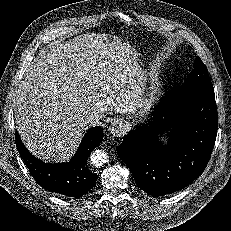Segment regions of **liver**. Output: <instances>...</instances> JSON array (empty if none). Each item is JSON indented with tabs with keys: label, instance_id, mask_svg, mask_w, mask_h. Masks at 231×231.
<instances>
[{
	"label": "liver",
	"instance_id": "6515ba94",
	"mask_svg": "<svg viewBox=\"0 0 231 231\" xmlns=\"http://www.w3.org/2000/svg\"><path fill=\"white\" fill-rule=\"evenodd\" d=\"M143 88L132 51L121 39L87 33L41 51L26 69L15 96L17 130L29 151L45 161H66L88 125L140 106Z\"/></svg>",
	"mask_w": 231,
	"mask_h": 231
}]
</instances>
